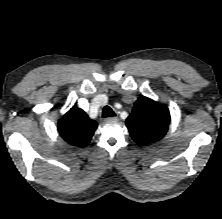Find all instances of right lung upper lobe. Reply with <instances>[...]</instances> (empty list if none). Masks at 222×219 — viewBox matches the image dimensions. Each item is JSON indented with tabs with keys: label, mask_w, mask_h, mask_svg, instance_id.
Returning <instances> with one entry per match:
<instances>
[{
	"label": "right lung upper lobe",
	"mask_w": 222,
	"mask_h": 219,
	"mask_svg": "<svg viewBox=\"0 0 222 219\" xmlns=\"http://www.w3.org/2000/svg\"><path fill=\"white\" fill-rule=\"evenodd\" d=\"M96 128L97 123L75 106L58 121L61 137L69 144L78 147H84L90 142Z\"/></svg>",
	"instance_id": "cb5924a9"
}]
</instances>
